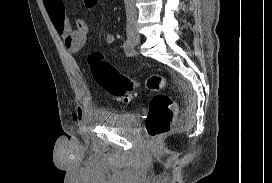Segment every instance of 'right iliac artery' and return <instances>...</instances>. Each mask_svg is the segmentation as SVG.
Here are the masks:
<instances>
[{
    "instance_id": "obj_1",
    "label": "right iliac artery",
    "mask_w": 272,
    "mask_h": 183,
    "mask_svg": "<svg viewBox=\"0 0 272 183\" xmlns=\"http://www.w3.org/2000/svg\"><path fill=\"white\" fill-rule=\"evenodd\" d=\"M123 48H124V52L126 53L127 56H132L133 53H134V46L132 44V42L127 39L123 45Z\"/></svg>"
}]
</instances>
